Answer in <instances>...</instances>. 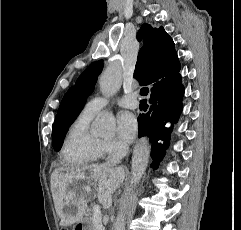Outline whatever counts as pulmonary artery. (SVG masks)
<instances>
[{"label": "pulmonary artery", "instance_id": "pulmonary-artery-1", "mask_svg": "<svg viewBox=\"0 0 241 230\" xmlns=\"http://www.w3.org/2000/svg\"><path fill=\"white\" fill-rule=\"evenodd\" d=\"M111 100L107 97H94L90 101L87 102L85 105L84 110H86L89 113L96 114L99 111H101L104 107H106ZM115 102L125 108L135 109L138 107L139 103L135 97V95H128L119 99H116Z\"/></svg>", "mask_w": 241, "mask_h": 230}]
</instances>
